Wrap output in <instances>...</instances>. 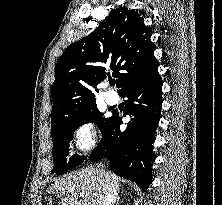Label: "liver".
Wrapping results in <instances>:
<instances>
[{
  "instance_id": "liver-1",
  "label": "liver",
  "mask_w": 222,
  "mask_h": 205,
  "mask_svg": "<svg viewBox=\"0 0 222 205\" xmlns=\"http://www.w3.org/2000/svg\"><path fill=\"white\" fill-rule=\"evenodd\" d=\"M106 181L113 183L116 190L120 187L121 180L115 174L106 172L103 175L100 169L85 168L56 180L48 191L61 194V205H78L79 197L84 199L82 205H100ZM81 193H84V196H81Z\"/></svg>"
}]
</instances>
